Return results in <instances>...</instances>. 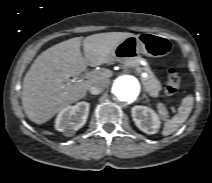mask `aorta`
Wrapping results in <instances>:
<instances>
[{
    "label": "aorta",
    "mask_w": 212,
    "mask_h": 183,
    "mask_svg": "<svg viewBox=\"0 0 212 183\" xmlns=\"http://www.w3.org/2000/svg\"><path fill=\"white\" fill-rule=\"evenodd\" d=\"M141 85L137 78L131 75L118 77L112 86V95L119 103H131L139 96Z\"/></svg>",
    "instance_id": "obj_1"
}]
</instances>
